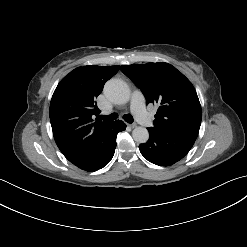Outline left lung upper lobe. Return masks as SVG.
I'll list each match as a JSON object with an SVG mask.
<instances>
[{"label":"left lung upper lobe","instance_id":"5c2ea615","mask_svg":"<svg viewBox=\"0 0 247 247\" xmlns=\"http://www.w3.org/2000/svg\"><path fill=\"white\" fill-rule=\"evenodd\" d=\"M144 94L147 104H158L154 127L159 133L196 140L202 118L201 105L190 81L168 63L121 66Z\"/></svg>","mask_w":247,"mask_h":247}]
</instances>
